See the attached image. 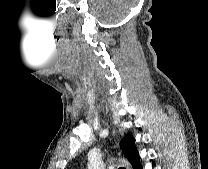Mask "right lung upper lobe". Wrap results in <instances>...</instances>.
Here are the masks:
<instances>
[{
	"label": "right lung upper lobe",
	"mask_w": 208,
	"mask_h": 169,
	"mask_svg": "<svg viewBox=\"0 0 208 169\" xmlns=\"http://www.w3.org/2000/svg\"><path fill=\"white\" fill-rule=\"evenodd\" d=\"M135 139L127 134L121 141L120 146L124 156L130 161L134 167L139 160V153L134 145Z\"/></svg>",
	"instance_id": "1"
}]
</instances>
